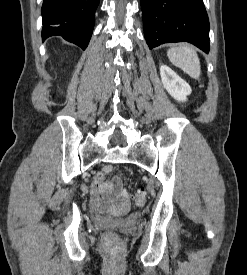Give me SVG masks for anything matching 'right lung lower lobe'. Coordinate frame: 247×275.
I'll use <instances>...</instances> for the list:
<instances>
[{
    "label": "right lung lower lobe",
    "instance_id": "98d812e1",
    "mask_svg": "<svg viewBox=\"0 0 247 275\" xmlns=\"http://www.w3.org/2000/svg\"><path fill=\"white\" fill-rule=\"evenodd\" d=\"M100 0H44L42 40L62 36L83 50L88 46Z\"/></svg>",
    "mask_w": 247,
    "mask_h": 275
}]
</instances>
